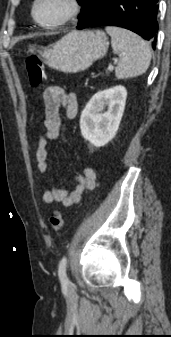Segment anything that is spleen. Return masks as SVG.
I'll return each mask as SVG.
<instances>
[{"label": "spleen", "mask_w": 171, "mask_h": 337, "mask_svg": "<svg viewBox=\"0 0 171 337\" xmlns=\"http://www.w3.org/2000/svg\"><path fill=\"white\" fill-rule=\"evenodd\" d=\"M106 32L111 36L113 52L120 57L115 71L116 78L127 79L145 73L151 61L148 43L135 33L120 27L107 26Z\"/></svg>", "instance_id": "3e777b00"}]
</instances>
